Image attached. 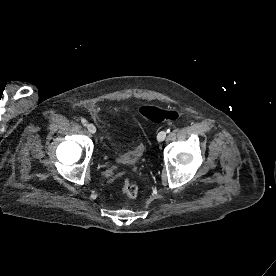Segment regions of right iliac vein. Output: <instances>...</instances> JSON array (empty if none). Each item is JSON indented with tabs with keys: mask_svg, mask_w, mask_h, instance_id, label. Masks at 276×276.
<instances>
[{
	"mask_svg": "<svg viewBox=\"0 0 276 276\" xmlns=\"http://www.w3.org/2000/svg\"><path fill=\"white\" fill-rule=\"evenodd\" d=\"M87 129L92 134H94L96 132V127L93 124H88Z\"/></svg>",
	"mask_w": 276,
	"mask_h": 276,
	"instance_id": "obj_1",
	"label": "right iliac vein"
}]
</instances>
